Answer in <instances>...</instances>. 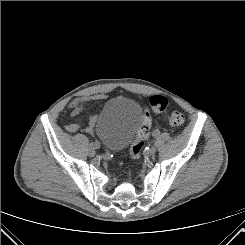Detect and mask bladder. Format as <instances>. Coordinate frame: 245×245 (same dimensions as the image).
<instances>
[{"instance_id": "1", "label": "bladder", "mask_w": 245, "mask_h": 245, "mask_svg": "<svg viewBox=\"0 0 245 245\" xmlns=\"http://www.w3.org/2000/svg\"><path fill=\"white\" fill-rule=\"evenodd\" d=\"M143 121L140 106L128 98L108 101L96 117L95 130L106 147L125 148L137 134Z\"/></svg>"}]
</instances>
